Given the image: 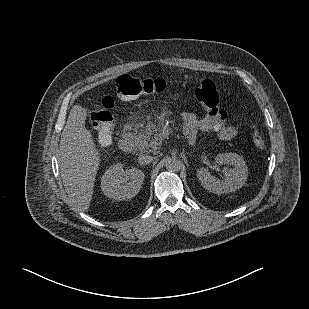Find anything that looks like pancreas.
Segmentation results:
<instances>
[{
	"label": "pancreas",
	"instance_id": "cf45deb5",
	"mask_svg": "<svg viewBox=\"0 0 309 309\" xmlns=\"http://www.w3.org/2000/svg\"><path fill=\"white\" fill-rule=\"evenodd\" d=\"M162 140V135L155 130H144L136 136V144L140 151L151 149L152 152H158L162 145Z\"/></svg>",
	"mask_w": 309,
	"mask_h": 309
}]
</instances>
